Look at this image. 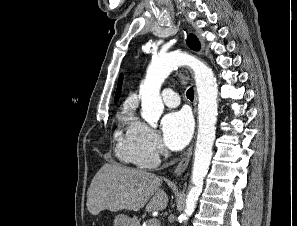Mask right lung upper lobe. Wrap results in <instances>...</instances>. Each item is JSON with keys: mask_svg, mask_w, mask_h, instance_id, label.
I'll use <instances>...</instances> for the list:
<instances>
[{"mask_svg": "<svg viewBox=\"0 0 297 226\" xmlns=\"http://www.w3.org/2000/svg\"><path fill=\"white\" fill-rule=\"evenodd\" d=\"M122 75H120V78H119V82H118V88H117V91H116V96H115V101L118 100L119 96H120V93H121V85H122Z\"/></svg>", "mask_w": 297, "mask_h": 226, "instance_id": "cb5924a9", "label": "right lung upper lobe"}]
</instances>
